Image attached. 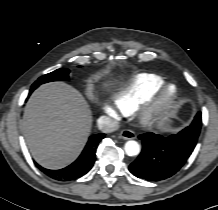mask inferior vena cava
Here are the masks:
<instances>
[{
  "label": "inferior vena cava",
  "instance_id": "obj_1",
  "mask_svg": "<svg viewBox=\"0 0 218 210\" xmlns=\"http://www.w3.org/2000/svg\"><path fill=\"white\" fill-rule=\"evenodd\" d=\"M97 122L99 130L103 133H111L119 128L118 121L107 116H101Z\"/></svg>",
  "mask_w": 218,
  "mask_h": 210
}]
</instances>
